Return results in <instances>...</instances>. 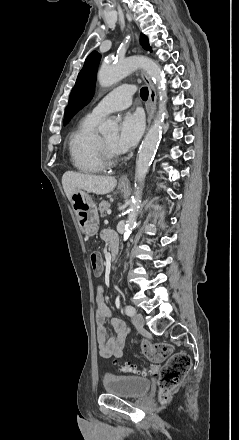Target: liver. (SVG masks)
Returning <instances> with one entry per match:
<instances>
[{
  "mask_svg": "<svg viewBox=\"0 0 239 440\" xmlns=\"http://www.w3.org/2000/svg\"><path fill=\"white\" fill-rule=\"evenodd\" d=\"M63 190L68 198L72 200L74 192L85 190L92 194H109L117 186V180L112 176H92V174H78V172H65L62 176Z\"/></svg>",
  "mask_w": 239,
  "mask_h": 440,
  "instance_id": "obj_1",
  "label": "liver"
}]
</instances>
